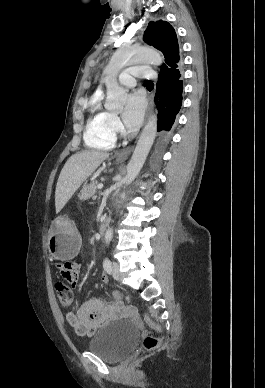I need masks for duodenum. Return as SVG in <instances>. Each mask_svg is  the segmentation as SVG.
Listing matches in <instances>:
<instances>
[{
	"mask_svg": "<svg viewBox=\"0 0 265 388\" xmlns=\"http://www.w3.org/2000/svg\"><path fill=\"white\" fill-rule=\"evenodd\" d=\"M108 226H109V220L108 219L102 220L99 226V233L101 235H104L108 229Z\"/></svg>",
	"mask_w": 265,
	"mask_h": 388,
	"instance_id": "410a0bca",
	"label": "duodenum"
}]
</instances>
